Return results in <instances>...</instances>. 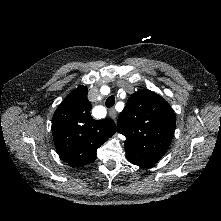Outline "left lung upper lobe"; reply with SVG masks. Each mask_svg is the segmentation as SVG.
<instances>
[{"label": "left lung upper lobe", "instance_id": "obj_1", "mask_svg": "<svg viewBox=\"0 0 221 221\" xmlns=\"http://www.w3.org/2000/svg\"><path fill=\"white\" fill-rule=\"evenodd\" d=\"M126 137L128 161L140 167L158 162L168 150L176 118L170 105L158 94L141 90L131 95L117 122Z\"/></svg>", "mask_w": 221, "mask_h": 221}]
</instances>
